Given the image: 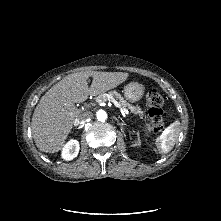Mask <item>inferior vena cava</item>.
<instances>
[{
	"label": "inferior vena cava",
	"mask_w": 221,
	"mask_h": 221,
	"mask_svg": "<svg viewBox=\"0 0 221 221\" xmlns=\"http://www.w3.org/2000/svg\"><path fill=\"white\" fill-rule=\"evenodd\" d=\"M92 117H93V113H91V112H83V113H81L78 116V121L79 122H83V121L91 119Z\"/></svg>",
	"instance_id": "602c4592"
}]
</instances>
